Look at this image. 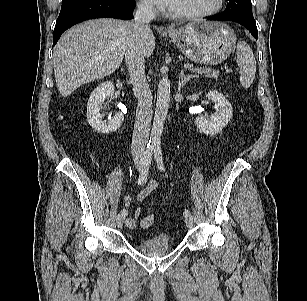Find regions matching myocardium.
Wrapping results in <instances>:
<instances>
[{
  "label": "myocardium",
  "mask_w": 307,
  "mask_h": 301,
  "mask_svg": "<svg viewBox=\"0 0 307 301\" xmlns=\"http://www.w3.org/2000/svg\"><path fill=\"white\" fill-rule=\"evenodd\" d=\"M225 5V0H216L213 7L202 10V11H196V12H173L172 16L179 18V19H185V20H196V19H202L207 18L210 16H213L217 13H219Z\"/></svg>",
  "instance_id": "1"
}]
</instances>
